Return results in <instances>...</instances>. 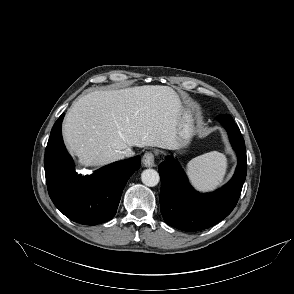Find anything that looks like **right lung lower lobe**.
Listing matches in <instances>:
<instances>
[{
  "label": "right lung lower lobe",
  "instance_id": "obj_1",
  "mask_svg": "<svg viewBox=\"0 0 294 294\" xmlns=\"http://www.w3.org/2000/svg\"><path fill=\"white\" fill-rule=\"evenodd\" d=\"M64 114L55 122L45 150L48 192L55 206L69 219L84 225L109 221L116 214L122 191L140 167L135 156L102 167L90 176L77 175L62 139Z\"/></svg>",
  "mask_w": 294,
  "mask_h": 294
}]
</instances>
